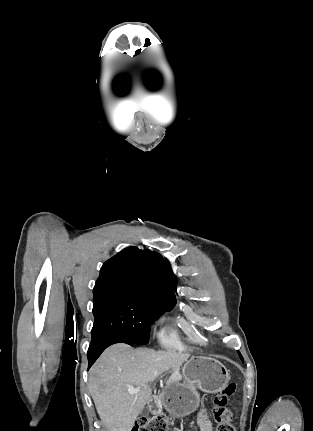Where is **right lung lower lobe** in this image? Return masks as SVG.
Here are the masks:
<instances>
[{"label":"right lung lower lobe","mask_w":313,"mask_h":431,"mask_svg":"<svg viewBox=\"0 0 313 431\" xmlns=\"http://www.w3.org/2000/svg\"><path fill=\"white\" fill-rule=\"evenodd\" d=\"M115 343H126L129 345H135L134 343L115 336H104L99 338L96 341H91V344L88 349L87 357H88V368L92 366V364L96 361V359L101 355V353L110 345Z\"/></svg>","instance_id":"98d812e1"}]
</instances>
